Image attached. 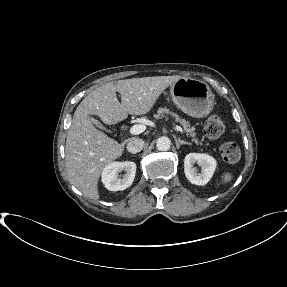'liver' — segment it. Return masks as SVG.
<instances>
[{"label": "liver", "mask_w": 287, "mask_h": 287, "mask_svg": "<svg viewBox=\"0 0 287 287\" xmlns=\"http://www.w3.org/2000/svg\"><path fill=\"white\" fill-rule=\"evenodd\" d=\"M180 76H155L106 83L89 93L78 105L68 130L65 161L69 181L86 197L100 198L98 181L104 168L119 158L126 141L118 143L96 129L90 115L108 125L117 124L131 115H144L161 93ZM116 92L121 95V103Z\"/></svg>", "instance_id": "1"}]
</instances>
